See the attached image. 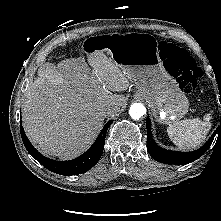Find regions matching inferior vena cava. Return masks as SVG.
<instances>
[{"instance_id":"1","label":"inferior vena cava","mask_w":221,"mask_h":221,"mask_svg":"<svg viewBox=\"0 0 221 221\" xmlns=\"http://www.w3.org/2000/svg\"><path fill=\"white\" fill-rule=\"evenodd\" d=\"M119 106L117 105H109L103 109V115L105 117L112 116L119 111Z\"/></svg>"}]
</instances>
